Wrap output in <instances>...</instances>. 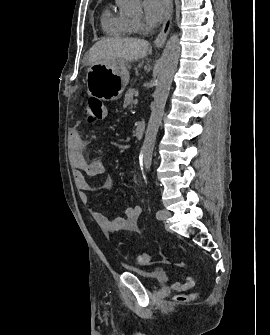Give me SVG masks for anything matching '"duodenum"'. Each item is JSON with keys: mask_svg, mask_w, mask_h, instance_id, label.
I'll use <instances>...</instances> for the list:
<instances>
[{"mask_svg": "<svg viewBox=\"0 0 270 335\" xmlns=\"http://www.w3.org/2000/svg\"><path fill=\"white\" fill-rule=\"evenodd\" d=\"M145 133V123L143 121H140L137 123L135 130H134V135L137 139H142Z\"/></svg>", "mask_w": 270, "mask_h": 335, "instance_id": "obj_1", "label": "duodenum"}]
</instances>
